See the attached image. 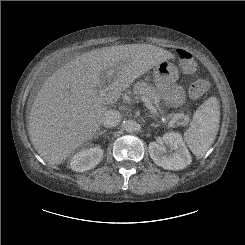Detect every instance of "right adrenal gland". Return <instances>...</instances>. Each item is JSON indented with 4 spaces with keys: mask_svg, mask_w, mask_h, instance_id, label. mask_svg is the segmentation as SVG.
<instances>
[{
    "mask_svg": "<svg viewBox=\"0 0 245 245\" xmlns=\"http://www.w3.org/2000/svg\"><path fill=\"white\" fill-rule=\"evenodd\" d=\"M107 132V130H102V131H100L99 133H97L96 135H95V139H98L100 136H102L103 134H105Z\"/></svg>",
    "mask_w": 245,
    "mask_h": 245,
    "instance_id": "right-adrenal-gland-1",
    "label": "right adrenal gland"
}]
</instances>
